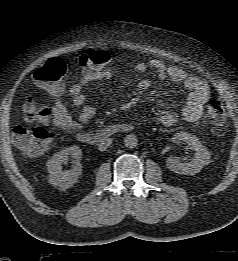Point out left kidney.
<instances>
[{
	"mask_svg": "<svg viewBox=\"0 0 238 261\" xmlns=\"http://www.w3.org/2000/svg\"><path fill=\"white\" fill-rule=\"evenodd\" d=\"M173 141H185L189 149L194 150V157L190 162L181 163L177 157H169L166 160L167 168L178 174L194 175L198 173L203 166L209 164L210 153L199 139L189 133H176Z\"/></svg>",
	"mask_w": 238,
	"mask_h": 261,
	"instance_id": "1",
	"label": "left kidney"
}]
</instances>
